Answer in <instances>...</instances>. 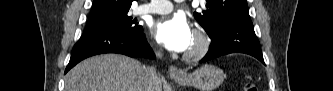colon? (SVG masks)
<instances>
[{"label": "colon", "mask_w": 333, "mask_h": 91, "mask_svg": "<svg viewBox=\"0 0 333 91\" xmlns=\"http://www.w3.org/2000/svg\"><path fill=\"white\" fill-rule=\"evenodd\" d=\"M244 91H258V88L254 83L249 82L244 86Z\"/></svg>", "instance_id": "5ec220e1"}]
</instances>
